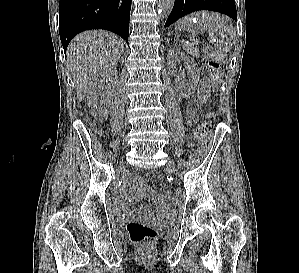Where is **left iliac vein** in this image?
Segmentation results:
<instances>
[{"instance_id":"left-iliac-vein-1","label":"left iliac vein","mask_w":299,"mask_h":273,"mask_svg":"<svg viewBox=\"0 0 299 273\" xmlns=\"http://www.w3.org/2000/svg\"><path fill=\"white\" fill-rule=\"evenodd\" d=\"M167 168L171 171H174L175 170V164L172 160H170L167 164Z\"/></svg>"}]
</instances>
